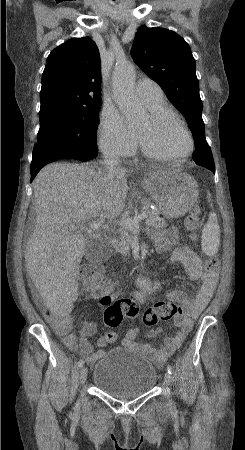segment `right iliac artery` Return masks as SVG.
<instances>
[{
  "label": "right iliac artery",
  "mask_w": 245,
  "mask_h": 450,
  "mask_svg": "<svg viewBox=\"0 0 245 450\" xmlns=\"http://www.w3.org/2000/svg\"><path fill=\"white\" fill-rule=\"evenodd\" d=\"M83 364H84L83 359L79 360V362H78V367L81 368V367L83 366Z\"/></svg>",
  "instance_id": "1"
}]
</instances>
